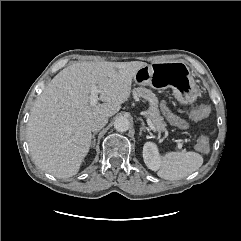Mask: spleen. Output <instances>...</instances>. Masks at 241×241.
I'll list each match as a JSON object with an SVG mask.
<instances>
[{
  "mask_svg": "<svg viewBox=\"0 0 241 241\" xmlns=\"http://www.w3.org/2000/svg\"><path fill=\"white\" fill-rule=\"evenodd\" d=\"M203 164V157L196 152H166L161 160L158 176L165 180H179L196 170Z\"/></svg>",
  "mask_w": 241,
  "mask_h": 241,
  "instance_id": "obj_1",
  "label": "spleen"
}]
</instances>
